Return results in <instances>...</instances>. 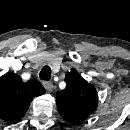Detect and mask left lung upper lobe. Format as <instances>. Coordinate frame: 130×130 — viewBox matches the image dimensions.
I'll return each instance as SVG.
<instances>
[{"label":"left lung upper lobe","mask_w":130,"mask_h":130,"mask_svg":"<svg viewBox=\"0 0 130 130\" xmlns=\"http://www.w3.org/2000/svg\"><path fill=\"white\" fill-rule=\"evenodd\" d=\"M65 82L66 88L57 92V109L65 121L77 124L96 110L97 91L76 71L68 72Z\"/></svg>","instance_id":"5c2ea615"}]
</instances>
